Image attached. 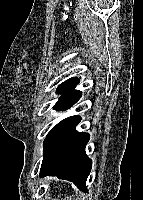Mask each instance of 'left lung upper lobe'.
I'll list each match as a JSON object with an SVG mask.
<instances>
[{
  "label": "left lung upper lobe",
  "instance_id": "left-lung-upper-lobe-1",
  "mask_svg": "<svg viewBox=\"0 0 143 200\" xmlns=\"http://www.w3.org/2000/svg\"><path fill=\"white\" fill-rule=\"evenodd\" d=\"M76 78H71L67 81H65L64 83H62L58 88H57V92L58 93H61L65 88H67L70 84L73 83V81L75 80Z\"/></svg>",
  "mask_w": 143,
  "mask_h": 200
}]
</instances>
